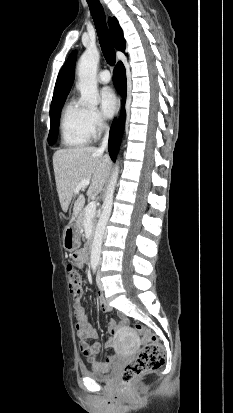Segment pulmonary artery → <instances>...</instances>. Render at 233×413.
Here are the masks:
<instances>
[{
    "label": "pulmonary artery",
    "instance_id": "e3ab8cb5",
    "mask_svg": "<svg viewBox=\"0 0 233 413\" xmlns=\"http://www.w3.org/2000/svg\"><path fill=\"white\" fill-rule=\"evenodd\" d=\"M98 81L107 84L111 81V75L108 70H103L98 74Z\"/></svg>",
    "mask_w": 233,
    "mask_h": 413
}]
</instances>
